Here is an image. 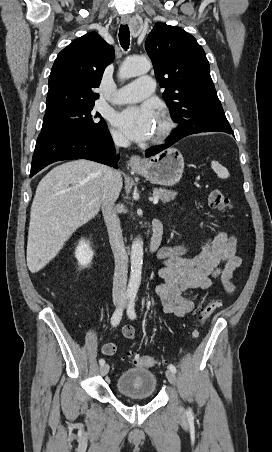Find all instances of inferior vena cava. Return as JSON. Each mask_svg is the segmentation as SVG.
<instances>
[{
    "mask_svg": "<svg viewBox=\"0 0 272 452\" xmlns=\"http://www.w3.org/2000/svg\"><path fill=\"white\" fill-rule=\"evenodd\" d=\"M113 141L118 147H128L130 142L122 134L114 133ZM120 173L109 168L104 176V183L101 192V207L104 220L106 222L110 245L114 254L115 272L113 278V299L124 300L127 283V263L128 256L124 247L120 220L116 214L114 205L118 198L116 183Z\"/></svg>",
    "mask_w": 272,
    "mask_h": 452,
    "instance_id": "inferior-vena-cava-1",
    "label": "inferior vena cava"
}]
</instances>
